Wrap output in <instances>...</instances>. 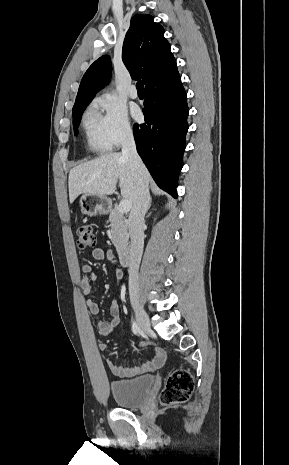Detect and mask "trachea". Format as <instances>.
Segmentation results:
<instances>
[{
  "label": "trachea",
  "instance_id": "obj_1",
  "mask_svg": "<svg viewBox=\"0 0 289 465\" xmlns=\"http://www.w3.org/2000/svg\"><path fill=\"white\" fill-rule=\"evenodd\" d=\"M137 91L144 92V83L143 81H138L136 84Z\"/></svg>",
  "mask_w": 289,
  "mask_h": 465
}]
</instances>
